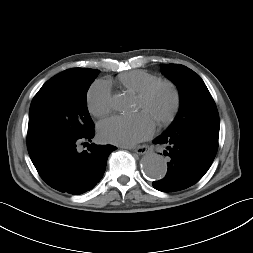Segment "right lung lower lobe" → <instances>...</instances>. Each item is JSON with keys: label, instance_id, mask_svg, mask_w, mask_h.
I'll return each instance as SVG.
<instances>
[{"label": "right lung lower lobe", "instance_id": "right-lung-lower-lobe-1", "mask_svg": "<svg viewBox=\"0 0 253 253\" xmlns=\"http://www.w3.org/2000/svg\"><path fill=\"white\" fill-rule=\"evenodd\" d=\"M94 130L72 142L60 144L32 159L41 178L52 188L73 195L91 190L102 178L113 145L91 144L79 152L77 145L91 141Z\"/></svg>", "mask_w": 253, "mask_h": 253}]
</instances>
